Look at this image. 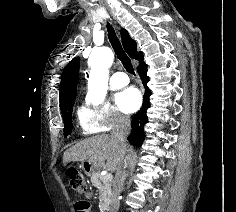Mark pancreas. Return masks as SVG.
<instances>
[{
    "instance_id": "1",
    "label": "pancreas",
    "mask_w": 236,
    "mask_h": 212,
    "mask_svg": "<svg viewBox=\"0 0 236 212\" xmlns=\"http://www.w3.org/2000/svg\"><path fill=\"white\" fill-rule=\"evenodd\" d=\"M91 182L94 187L99 191V209L107 211L111 203V184L109 180H106L104 176H100L97 173L91 176Z\"/></svg>"
}]
</instances>
